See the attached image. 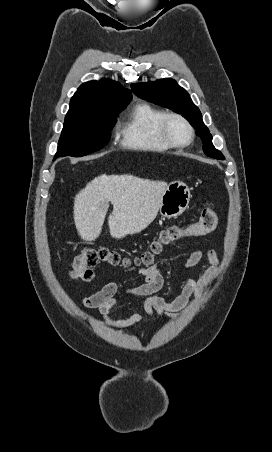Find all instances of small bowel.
<instances>
[{
    "instance_id": "c3829d8e",
    "label": "small bowel",
    "mask_w": 272,
    "mask_h": 452,
    "mask_svg": "<svg viewBox=\"0 0 272 452\" xmlns=\"http://www.w3.org/2000/svg\"><path fill=\"white\" fill-rule=\"evenodd\" d=\"M203 255L201 249H194L183 262V268L188 269L196 266ZM206 256L210 266L198 280L192 278L183 280L180 295L173 301H166L157 294L165 283V277L160 267L156 263H151L145 267L129 266L127 268L129 272L143 278L141 284L121 289L117 282L107 283L99 291L86 297L83 304L88 309L97 310L108 325L118 329L132 328L146 317L155 314L159 322L165 318H174L187 305L189 300L200 293L217 275L220 263L217 253L214 250H209ZM127 297L144 298L145 314L135 313L127 319H113L110 316L112 307Z\"/></svg>"
}]
</instances>
